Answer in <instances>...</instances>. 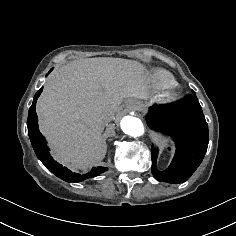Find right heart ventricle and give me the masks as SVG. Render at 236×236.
<instances>
[{
    "label": "right heart ventricle",
    "mask_w": 236,
    "mask_h": 236,
    "mask_svg": "<svg viewBox=\"0 0 236 236\" xmlns=\"http://www.w3.org/2000/svg\"><path fill=\"white\" fill-rule=\"evenodd\" d=\"M175 85L176 80L170 73L157 71L153 74L152 86L157 92L163 93Z\"/></svg>",
    "instance_id": "1"
}]
</instances>
